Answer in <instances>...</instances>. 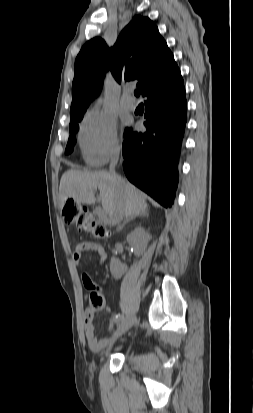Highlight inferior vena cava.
Here are the masks:
<instances>
[{
    "instance_id": "602c4592",
    "label": "inferior vena cava",
    "mask_w": 253,
    "mask_h": 413,
    "mask_svg": "<svg viewBox=\"0 0 253 413\" xmlns=\"http://www.w3.org/2000/svg\"><path fill=\"white\" fill-rule=\"evenodd\" d=\"M119 160V152H116L112 158H111V162H110V166H109V174L113 180L114 185L117 188V192H118V200H117V204H116V208L115 210L109 215L110 217V223L112 225H116L118 224L123 216H124V210H123V191L121 188V184H120V180L119 177L116 175L115 172V167L118 163Z\"/></svg>"
}]
</instances>
